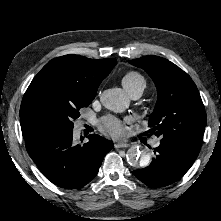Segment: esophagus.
Returning a JSON list of instances; mask_svg holds the SVG:
<instances>
[{"label": "esophagus", "instance_id": "obj_1", "mask_svg": "<svg viewBox=\"0 0 221 221\" xmlns=\"http://www.w3.org/2000/svg\"><path fill=\"white\" fill-rule=\"evenodd\" d=\"M130 146L131 145L128 144V143H117V144H115V148H128Z\"/></svg>", "mask_w": 221, "mask_h": 221}]
</instances>
